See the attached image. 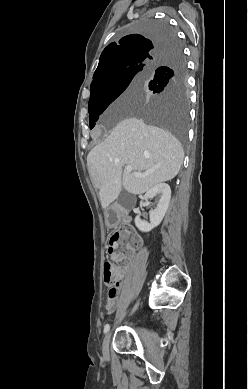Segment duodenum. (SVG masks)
Instances as JSON below:
<instances>
[{"label": "duodenum", "instance_id": "1", "mask_svg": "<svg viewBox=\"0 0 248 389\" xmlns=\"http://www.w3.org/2000/svg\"><path fill=\"white\" fill-rule=\"evenodd\" d=\"M123 216V209L120 206L112 208L106 215V222L114 226L118 223L119 219ZM129 218L123 217V223H128Z\"/></svg>", "mask_w": 248, "mask_h": 389}]
</instances>
